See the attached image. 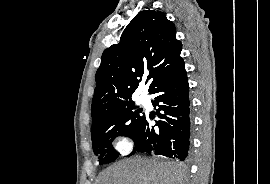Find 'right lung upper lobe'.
I'll use <instances>...</instances> for the list:
<instances>
[{
  "instance_id": "cb5924a9",
  "label": "right lung upper lobe",
  "mask_w": 270,
  "mask_h": 184,
  "mask_svg": "<svg viewBox=\"0 0 270 184\" xmlns=\"http://www.w3.org/2000/svg\"><path fill=\"white\" fill-rule=\"evenodd\" d=\"M182 44L174 24L155 10L140 11L123 31L120 42L101 57L92 100V124L131 102L142 77L149 91L181 60Z\"/></svg>"
}]
</instances>
